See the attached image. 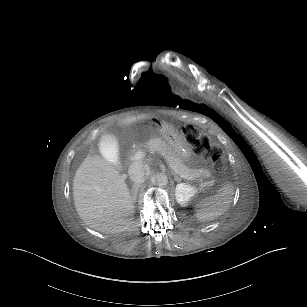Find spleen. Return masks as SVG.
Returning a JSON list of instances; mask_svg holds the SVG:
<instances>
[{"label": "spleen", "instance_id": "3e777b00", "mask_svg": "<svg viewBox=\"0 0 307 307\" xmlns=\"http://www.w3.org/2000/svg\"><path fill=\"white\" fill-rule=\"evenodd\" d=\"M232 193L230 185H221L217 197L204 203L202 209L197 212L198 220L201 222L212 221L222 215L229 208Z\"/></svg>", "mask_w": 307, "mask_h": 307}]
</instances>
